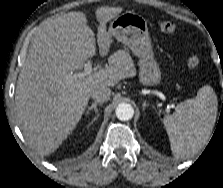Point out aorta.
Returning a JSON list of instances; mask_svg holds the SVG:
<instances>
[{
  "mask_svg": "<svg viewBox=\"0 0 223 188\" xmlns=\"http://www.w3.org/2000/svg\"><path fill=\"white\" fill-rule=\"evenodd\" d=\"M116 116L121 121H128L130 120L134 115V109L130 104L127 103H120L116 107Z\"/></svg>",
  "mask_w": 223,
  "mask_h": 188,
  "instance_id": "1",
  "label": "aorta"
}]
</instances>
